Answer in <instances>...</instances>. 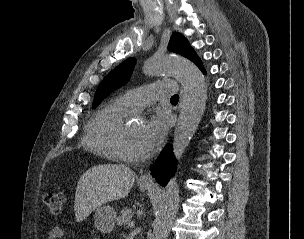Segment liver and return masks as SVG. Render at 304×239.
<instances>
[{
  "label": "liver",
  "instance_id": "liver-1",
  "mask_svg": "<svg viewBox=\"0 0 304 239\" xmlns=\"http://www.w3.org/2000/svg\"><path fill=\"white\" fill-rule=\"evenodd\" d=\"M136 174L125 165L94 166L80 177L74 211L77 222L85 220L99 206L128 196Z\"/></svg>",
  "mask_w": 304,
  "mask_h": 239
}]
</instances>
